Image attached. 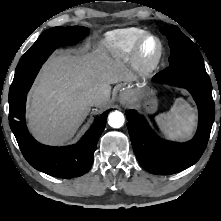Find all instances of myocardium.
Returning <instances> with one entry per match:
<instances>
[{
  "label": "myocardium",
  "instance_id": "1",
  "mask_svg": "<svg viewBox=\"0 0 221 221\" xmlns=\"http://www.w3.org/2000/svg\"><path fill=\"white\" fill-rule=\"evenodd\" d=\"M149 40H154L156 43V50L152 55L145 53V45ZM163 51L164 47L161 39L152 33H145L134 50V61L137 69L143 74H148L155 70L162 59Z\"/></svg>",
  "mask_w": 221,
  "mask_h": 221
}]
</instances>
